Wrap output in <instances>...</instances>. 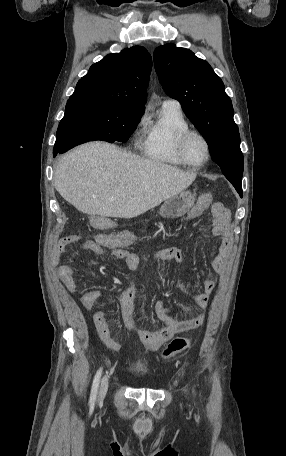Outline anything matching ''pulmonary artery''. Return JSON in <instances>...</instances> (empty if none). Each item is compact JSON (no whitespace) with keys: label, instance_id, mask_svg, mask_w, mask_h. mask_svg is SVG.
<instances>
[{"label":"pulmonary artery","instance_id":"e3ab8cb5","mask_svg":"<svg viewBox=\"0 0 286 456\" xmlns=\"http://www.w3.org/2000/svg\"><path fill=\"white\" fill-rule=\"evenodd\" d=\"M163 106H168L176 109H181L180 103L175 99H166L163 101Z\"/></svg>","mask_w":286,"mask_h":456}]
</instances>
